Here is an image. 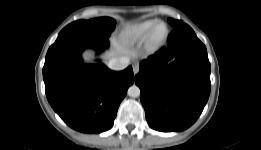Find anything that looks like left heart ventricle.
<instances>
[{
  "mask_svg": "<svg viewBox=\"0 0 261 150\" xmlns=\"http://www.w3.org/2000/svg\"><path fill=\"white\" fill-rule=\"evenodd\" d=\"M165 33V28H164V26H160L158 29H157V32H156V34H157V36H162L163 34Z\"/></svg>",
  "mask_w": 261,
  "mask_h": 150,
  "instance_id": "b2bd125f",
  "label": "left heart ventricle"
}]
</instances>
